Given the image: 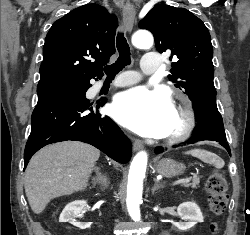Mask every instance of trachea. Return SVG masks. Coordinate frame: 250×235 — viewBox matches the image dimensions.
I'll return each instance as SVG.
<instances>
[{"mask_svg": "<svg viewBox=\"0 0 250 235\" xmlns=\"http://www.w3.org/2000/svg\"><path fill=\"white\" fill-rule=\"evenodd\" d=\"M116 44L119 52L117 61L104 67V72L108 78L115 77V75L118 74L125 66L130 65L131 63L130 47L122 32L118 33Z\"/></svg>", "mask_w": 250, "mask_h": 235, "instance_id": "1", "label": "trachea"}]
</instances>
